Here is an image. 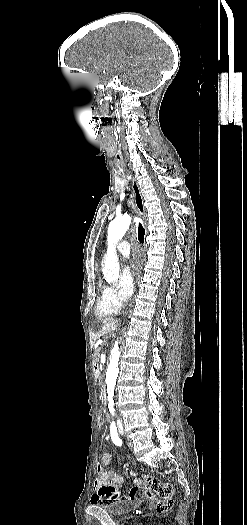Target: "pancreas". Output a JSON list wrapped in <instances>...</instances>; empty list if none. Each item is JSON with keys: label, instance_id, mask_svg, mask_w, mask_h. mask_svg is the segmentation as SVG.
I'll list each match as a JSON object with an SVG mask.
<instances>
[{"label": "pancreas", "instance_id": "cf45deb5", "mask_svg": "<svg viewBox=\"0 0 247 525\" xmlns=\"http://www.w3.org/2000/svg\"><path fill=\"white\" fill-rule=\"evenodd\" d=\"M94 361L99 360L98 352H95V355H93Z\"/></svg>", "mask_w": 247, "mask_h": 525}]
</instances>
